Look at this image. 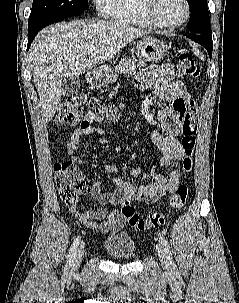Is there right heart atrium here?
<instances>
[{
	"label": "right heart atrium",
	"mask_w": 239,
	"mask_h": 303,
	"mask_svg": "<svg viewBox=\"0 0 239 303\" xmlns=\"http://www.w3.org/2000/svg\"><path fill=\"white\" fill-rule=\"evenodd\" d=\"M102 16L112 15L116 0H93Z\"/></svg>",
	"instance_id": "1"
}]
</instances>
